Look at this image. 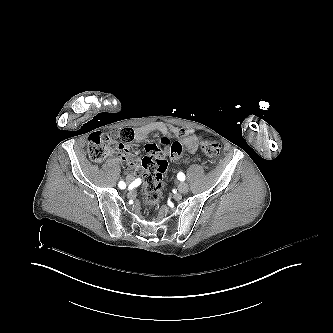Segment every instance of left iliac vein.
<instances>
[{"label": "left iliac vein", "mask_w": 333, "mask_h": 333, "mask_svg": "<svg viewBox=\"0 0 333 333\" xmlns=\"http://www.w3.org/2000/svg\"><path fill=\"white\" fill-rule=\"evenodd\" d=\"M178 192L181 194H185L188 192V184L185 182H182L178 185Z\"/></svg>", "instance_id": "obj_1"}]
</instances>
